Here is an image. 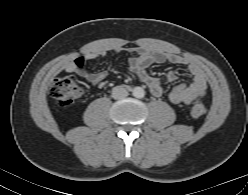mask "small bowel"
Masks as SVG:
<instances>
[{"label":"small bowel","instance_id":"1","mask_svg":"<svg viewBox=\"0 0 248 195\" xmlns=\"http://www.w3.org/2000/svg\"><path fill=\"white\" fill-rule=\"evenodd\" d=\"M136 56L128 59V68L143 83H145L150 92L159 97L163 93V83L172 82L178 79L174 73H169L163 78L151 76L146 72V68L153 63L171 62L173 64H184L188 66L193 80L188 84H179L174 87L168 94V99L173 104H190L195 98L202 97L207 91V84L203 70L195 63H187L182 57L176 54L166 53L160 50L140 49ZM105 52L99 51L79 57L66 65L65 71L68 73L75 72L93 86L101 85L106 77L105 71L89 72L84 68L85 63L94 58L104 56Z\"/></svg>","mask_w":248,"mask_h":195}]
</instances>
